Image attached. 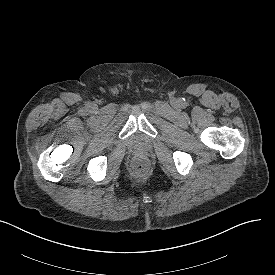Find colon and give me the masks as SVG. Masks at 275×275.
Returning <instances> with one entry per match:
<instances>
[{"mask_svg":"<svg viewBox=\"0 0 275 275\" xmlns=\"http://www.w3.org/2000/svg\"><path fill=\"white\" fill-rule=\"evenodd\" d=\"M133 169L136 174H138L140 176H144L147 174V172L149 170V166H148V163L144 159L138 158L133 163Z\"/></svg>","mask_w":275,"mask_h":275,"instance_id":"5ec220e1","label":"colon"}]
</instances>
